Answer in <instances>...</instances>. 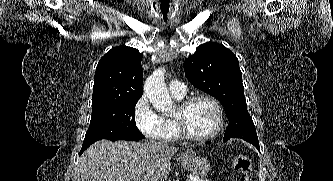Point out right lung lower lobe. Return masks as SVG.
I'll list each match as a JSON object with an SVG mask.
<instances>
[{
    "label": "right lung lower lobe",
    "mask_w": 333,
    "mask_h": 181,
    "mask_svg": "<svg viewBox=\"0 0 333 181\" xmlns=\"http://www.w3.org/2000/svg\"><path fill=\"white\" fill-rule=\"evenodd\" d=\"M91 145V144H90ZM90 145H87V146H82V149H81V152H80V154L85 150V149H87Z\"/></svg>",
    "instance_id": "1"
}]
</instances>
